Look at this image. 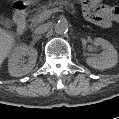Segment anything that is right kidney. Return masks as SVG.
<instances>
[{
    "label": "right kidney",
    "mask_w": 119,
    "mask_h": 119,
    "mask_svg": "<svg viewBox=\"0 0 119 119\" xmlns=\"http://www.w3.org/2000/svg\"><path fill=\"white\" fill-rule=\"evenodd\" d=\"M25 55H29V61L27 64L22 63V58ZM37 50L28 47L26 44H20L17 46L12 55L9 58V73L13 77H21L28 74L36 64Z\"/></svg>",
    "instance_id": "ca27d5eb"
}]
</instances>
